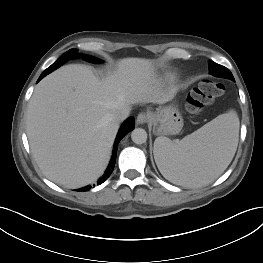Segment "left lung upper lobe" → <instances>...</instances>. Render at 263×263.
<instances>
[{
	"label": "left lung upper lobe",
	"mask_w": 263,
	"mask_h": 263,
	"mask_svg": "<svg viewBox=\"0 0 263 263\" xmlns=\"http://www.w3.org/2000/svg\"><path fill=\"white\" fill-rule=\"evenodd\" d=\"M210 67H214L216 70V73L213 75L218 76V77L228 78L234 81L233 75L226 67L221 66L213 61H209V70H210Z\"/></svg>",
	"instance_id": "left-lung-upper-lobe-1"
}]
</instances>
